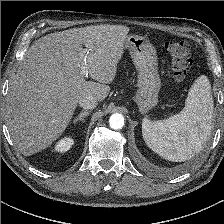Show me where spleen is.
I'll list each match as a JSON object with an SVG mask.
<instances>
[{"instance_id":"1","label":"spleen","mask_w":224,"mask_h":224,"mask_svg":"<svg viewBox=\"0 0 224 224\" xmlns=\"http://www.w3.org/2000/svg\"><path fill=\"white\" fill-rule=\"evenodd\" d=\"M213 109L209 79L201 75L190 87L185 107L180 113L164 120L143 119L144 141L166 160L181 162L191 159L208 140Z\"/></svg>"}]
</instances>
